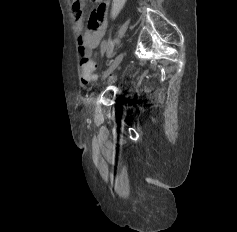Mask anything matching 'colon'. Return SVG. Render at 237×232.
<instances>
[{
	"instance_id": "5ec220e1",
	"label": "colon",
	"mask_w": 237,
	"mask_h": 232,
	"mask_svg": "<svg viewBox=\"0 0 237 232\" xmlns=\"http://www.w3.org/2000/svg\"><path fill=\"white\" fill-rule=\"evenodd\" d=\"M126 0H112V7L110 11V18L115 19L119 13L121 12L122 8L125 5ZM95 64L90 59H82L81 60V76L80 80L83 85H87L91 81L96 78L94 73Z\"/></svg>"
}]
</instances>
